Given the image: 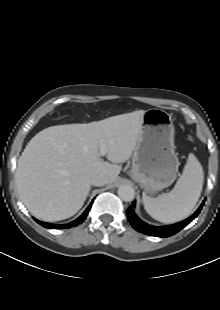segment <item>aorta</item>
I'll list each match as a JSON object with an SVG mask.
<instances>
[{"mask_svg": "<svg viewBox=\"0 0 220 310\" xmlns=\"http://www.w3.org/2000/svg\"><path fill=\"white\" fill-rule=\"evenodd\" d=\"M118 196L125 202H130L135 197V191L130 185H122L118 188Z\"/></svg>", "mask_w": 220, "mask_h": 310, "instance_id": "1", "label": "aorta"}]
</instances>
